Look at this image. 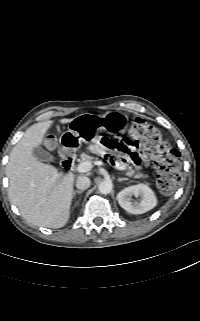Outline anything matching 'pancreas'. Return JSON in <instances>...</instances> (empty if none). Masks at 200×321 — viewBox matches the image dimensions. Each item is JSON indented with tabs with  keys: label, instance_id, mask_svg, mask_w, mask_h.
<instances>
[{
	"label": "pancreas",
	"instance_id": "obj_1",
	"mask_svg": "<svg viewBox=\"0 0 200 321\" xmlns=\"http://www.w3.org/2000/svg\"><path fill=\"white\" fill-rule=\"evenodd\" d=\"M96 160H98L97 157L90 156V155H87V154H84V153L81 154V159H80L81 162H90V163H92V162H94ZM126 175L129 176V177L134 176V178H146V177H148L147 174L136 173L134 170H128L126 172Z\"/></svg>",
	"mask_w": 200,
	"mask_h": 321
}]
</instances>
